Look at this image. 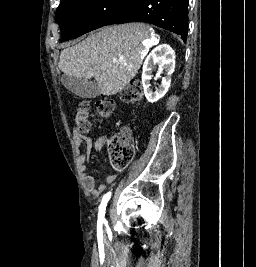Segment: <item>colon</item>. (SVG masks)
<instances>
[{
    "label": "colon",
    "instance_id": "5ec220e1",
    "mask_svg": "<svg viewBox=\"0 0 256 267\" xmlns=\"http://www.w3.org/2000/svg\"><path fill=\"white\" fill-rule=\"evenodd\" d=\"M143 98V90L140 82L136 79L130 81L128 86L121 92V101L125 104L139 103ZM115 109V101L106 99L100 101L95 108V114L100 119L111 117ZM91 104L84 102L78 105L74 116L75 126L78 133L88 134L91 129ZM128 132V131H121ZM126 135V133H124ZM107 146L110 150V162L117 169L125 168L134 158L135 147L131 144L108 140Z\"/></svg>",
    "mask_w": 256,
    "mask_h": 267
}]
</instances>
